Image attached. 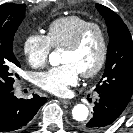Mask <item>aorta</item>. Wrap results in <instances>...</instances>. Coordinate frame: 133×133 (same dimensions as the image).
I'll list each match as a JSON object with an SVG mask.
<instances>
[{
    "label": "aorta",
    "mask_w": 133,
    "mask_h": 133,
    "mask_svg": "<svg viewBox=\"0 0 133 133\" xmlns=\"http://www.w3.org/2000/svg\"><path fill=\"white\" fill-rule=\"evenodd\" d=\"M49 62L53 66H57L60 64V56L57 52H52L49 55ZM89 115L88 107L84 104H77L72 109L73 119L77 122H84L87 120Z\"/></svg>",
    "instance_id": "1"
}]
</instances>
